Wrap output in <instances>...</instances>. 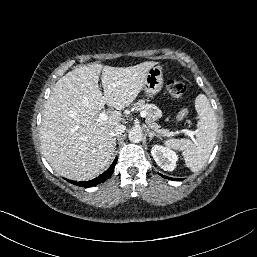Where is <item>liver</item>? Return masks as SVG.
I'll use <instances>...</instances> for the list:
<instances>
[{
	"mask_svg": "<svg viewBox=\"0 0 257 257\" xmlns=\"http://www.w3.org/2000/svg\"><path fill=\"white\" fill-rule=\"evenodd\" d=\"M156 64H92L76 68L56 82L45 103L40 142L46 160L59 175L85 181L107 167L114 151L110 131L120 125L122 117L119 111H113L100 121L99 114L105 104L116 110L129 106ZM100 73L103 94L98 86Z\"/></svg>",
	"mask_w": 257,
	"mask_h": 257,
	"instance_id": "6515ba94",
	"label": "liver"
}]
</instances>
